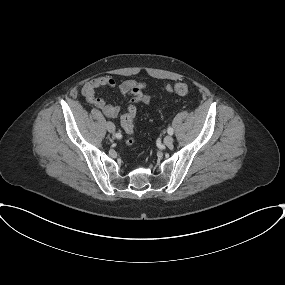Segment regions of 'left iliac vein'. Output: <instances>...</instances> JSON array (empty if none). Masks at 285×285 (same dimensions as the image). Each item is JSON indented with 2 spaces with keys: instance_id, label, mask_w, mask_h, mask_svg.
I'll list each match as a JSON object with an SVG mask.
<instances>
[{
  "instance_id": "1",
  "label": "left iliac vein",
  "mask_w": 285,
  "mask_h": 285,
  "mask_svg": "<svg viewBox=\"0 0 285 285\" xmlns=\"http://www.w3.org/2000/svg\"><path fill=\"white\" fill-rule=\"evenodd\" d=\"M173 143V137L171 135H167L164 138V144L170 146Z\"/></svg>"
}]
</instances>
